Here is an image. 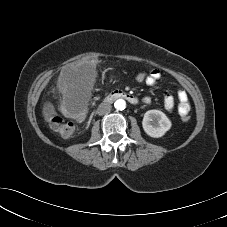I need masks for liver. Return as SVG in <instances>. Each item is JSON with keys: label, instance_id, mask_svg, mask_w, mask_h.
Returning <instances> with one entry per match:
<instances>
[{"label": "liver", "instance_id": "1", "mask_svg": "<svg viewBox=\"0 0 227 227\" xmlns=\"http://www.w3.org/2000/svg\"><path fill=\"white\" fill-rule=\"evenodd\" d=\"M89 68L94 70L95 65L87 62H81L75 66H70L61 72L57 81L59 90H61L64 94L71 91L75 85L83 79L85 71Z\"/></svg>", "mask_w": 227, "mask_h": 227}]
</instances>
